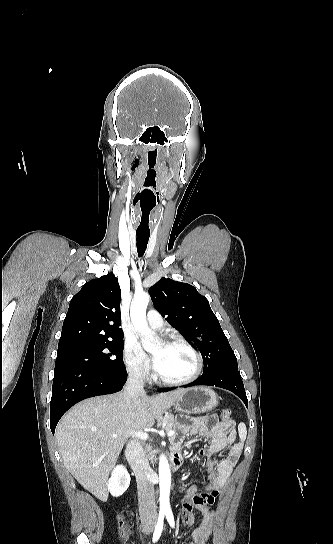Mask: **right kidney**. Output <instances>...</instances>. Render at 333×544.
I'll return each mask as SVG.
<instances>
[{
	"label": "right kidney",
	"instance_id": "1",
	"mask_svg": "<svg viewBox=\"0 0 333 544\" xmlns=\"http://www.w3.org/2000/svg\"><path fill=\"white\" fill-rule=\"evenodd\" d=\"M130 484V475L123 465H117L107 483L108 490L114 497L122 495Z\"/></svg>",
	"mask_w": 333,
	"mask_h": 544
}]
</instances>
